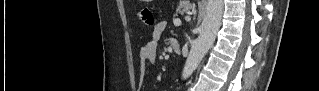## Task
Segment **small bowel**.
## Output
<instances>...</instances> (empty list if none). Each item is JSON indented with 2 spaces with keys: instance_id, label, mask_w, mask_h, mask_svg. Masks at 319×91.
Listing matches in <instances>:
<instances>
[{
  "instance_id": "c3829d8e",
  "label": "small bowel",
  "mask_w": 319,
  "mask_h": 91,
  "mask_svg": "<svg viewBox=\"0 0 319 91\" xmlns=\"http://www.w3.org/2000/svg\"><path fill=\"white\" fill-rule=\"evenodd\" d=\"M167 23L166 21L158 22L152 32L151 37L148 42L141 47L139 58H140V77L141 79L144 77L146 68L148 65H153L157 61V47L158 40L164 33L166 29Z\"/></svg>"
}]
</instances>
